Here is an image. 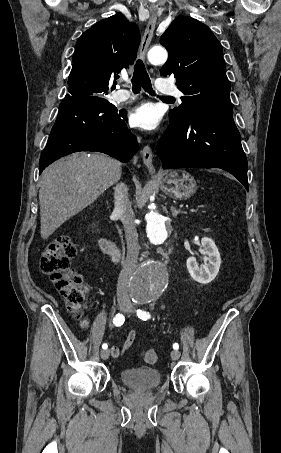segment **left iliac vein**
Listing matches in <instances>:
<instances>
[{
    "label": "left iliac vein",
    "instance_id": "1",
    "mask_svg": "<svg viewBox=\"0 0 281 453\" xmlns=\"http://www.w3.org/2000/svg\"><path fill=\"white\" fill-rule=\"evenodd\" d=\"M125 313H132L134 312L133 310V305H126V307L123 309ZM171 358L174 359L175 361L180 358V353L178 351H171Z\"/></svg>",
    "mask_w": 281,
    "mask_h": 453
}]
</instances>
